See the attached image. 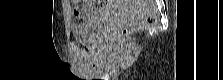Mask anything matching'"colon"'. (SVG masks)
Returning <instances> with one entry per match:
<instances>
[{
	"mask_svg": "<svg viewBox=\"0 0 223 80\" xmlns=\"http://www.w3.org/2000/svg\"><path fill=\"white\" fill-rule=\"evenodd\" d=\"M73 3L76 5L82 6V2L80 0H73ZM156 22V15L154 13H149L145 16L141 21L136 23H128L120 27L113 34V40L117 41L119 39L124 38L126 35L134 31L136 28L140 26H150Z\"/></svg>",
	"mask_w": 223,
	"mask_h": 80,
	"instance_id": "5ec220e1",
	"label": "colon"
}]
</instances>
